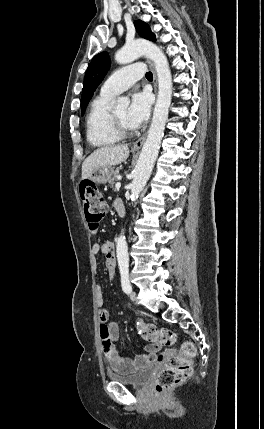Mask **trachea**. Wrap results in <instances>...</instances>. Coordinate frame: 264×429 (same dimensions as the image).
I'll return each instance as SVG.
<instances>
[{"mask_svg":"<svg viewBox=\"0 0 264 429\" xmlns=\"http://www.w3.org/2000/svg\"><path fill=\"white\" fill-rule=\"evenodd\" d=\"M146 78L149 79V80H152L153 79L152 73L151 72H147L146 73Z\"/></svg>","mask_w":264,"mask_h":429,"instance_id":"obj_1","label":"trachea"}]
</instances>
